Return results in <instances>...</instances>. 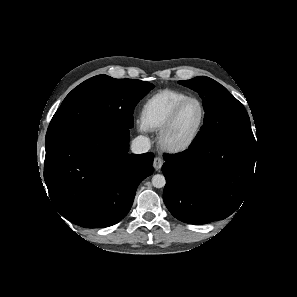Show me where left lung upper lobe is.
<instances>
[{"instance_id":"left-lung-upper-lobe-1","label":"left lung upper lobe","mask_w":297,"mask_h":297,"mask_svg":"<svg viewBox=\"0 0 297 297\" xmlns=\"http://www.w3.org/2000/svg\"><path fill=\"white\" fill-rule=\"evenodd\" d=\"M179 84L199 93L205 111L203 126L191 145L235 139L256 147L244 106L225 87L206 76L179 81Z\"/></svg>"}]
</instances>
